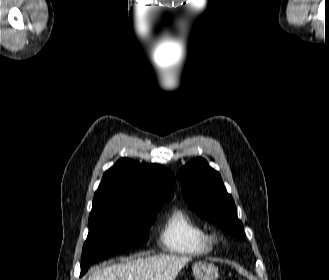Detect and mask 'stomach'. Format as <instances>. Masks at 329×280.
Instances as JSON below:
<instances>
[{"instance_id": "stomach-1", "label": "stomach", "mask_w": 329, "mask_h": 280, "mask_svg": "<svg viewBox=\"0 0 329 280\" xmlns=\"http://www.w3.org/2000/svg\"><path fill=\"white\" fill-rule=\"evenodd\" d=\"M192 270L197 280H216L218 277V268L210 262H197L192 266Z\"/></svg>"}]
</instances>
